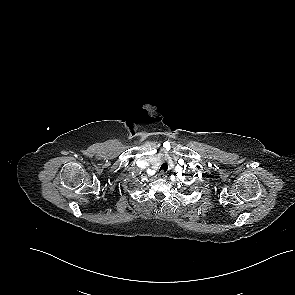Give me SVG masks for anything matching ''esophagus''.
<instances>
[{"instance_id":"esophagus-1","label":"esophagus","mask_w":295,"mask_h":295,"mask_svg":"<svg viewBox=\"0 0 295 295\" xmlns=\"http://www.w3.org/2000/svg\"><path fill=\"white\" fill-rule=\"evenodd\" d=\"M166 177H167V174L165 172H160L158 174V178H160V179H165Z\"/></svg>"}]
</instances>
